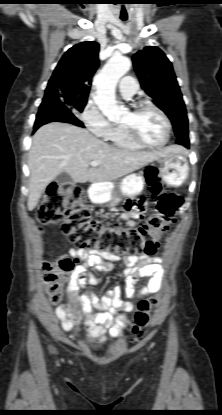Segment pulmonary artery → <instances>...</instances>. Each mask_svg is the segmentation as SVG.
Returning <instances> with one entry per match:
<instances>
[{"instance_id":"e3ab8cb5","label":"pulmonary artery","mask_w":222,"mask_h":415,"mask_svg":"<svg viewBox=\"0 0 222 415\" xmlns=\"http://www.w3.org/2000/svg\"><path fill=\"white\" fill-rule=\"evenodd\" d=\"M138 86L134 78L130 76L123 77L119 82V90L126 98L132 97L137 92Z\"/></svg>"}]
</instances>
